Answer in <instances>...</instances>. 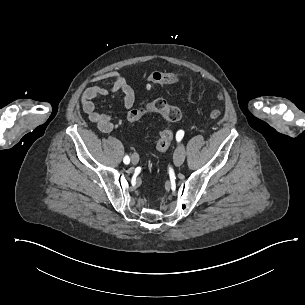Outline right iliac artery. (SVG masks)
<instances>
[{
	"label": "right iliac artery",
	"instance_id": "82829eb1",
	"mask_svg": "<svg viewBox=\"0 0 305 305\" xmlns=\"http://www.w3.org/2000/svg\"><path fill=\"white\" fill-rule=\"evenodd\" d=\"M123 161L125 164H129L130 158L128 156H125Z\"/></svg>",
	"mask_w": 305,
	"mask_h": 305
}]
</instances>
